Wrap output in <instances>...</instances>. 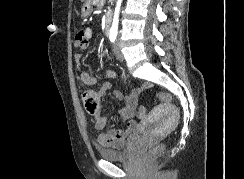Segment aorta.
<instances>
[{"instance_id": "obj_1", "label": "aorta", "mask_w": 244, "mask_h": 179, "mask_svg": "<svg viewBox=\"0 0 244 179\" xmlns=\"http://www.w3.org/2000/svg\"><path fill=\"white\" fill-rule=\"evenodd\" d=\"M121 4H122V0H118L117 6L115 8L114 18H113V22H112L110 32H117V30H118V22H119L118 18H119V12H120Z\"/></svg>"}]
</instances>
